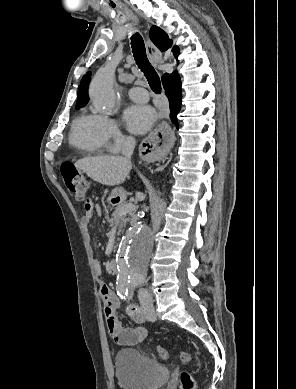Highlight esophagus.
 I'll return each instance as SVG.
<instances>
[{
	"instance_id": "34e87169",
	"label": "esophagus",
	"mask_w": 296,
	"mask_h": 389,
	"mask_svg": "<svg viewBox=\"0 0 296 389\" xmlns=\"http://www.w3.org/2000/svg\"><path fill=\"white\" fill-rule=\"evenodd\" d=\"M146 51L150 62L157 66L161 60L157 48L150 39L146 40ZM177 139L175 131L169 122H158L148 135H143L141 139V152L147 163H156L159 158L166 157L172 150Z\"/></svg>"
}]
</instances>
